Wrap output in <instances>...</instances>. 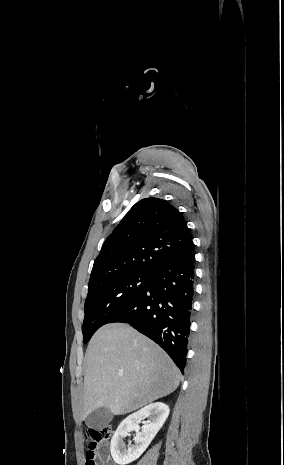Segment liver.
<instances>
[{"label":"liver","mask_w":284,"mask_h":465,"mask_svg":"<svg viewBox=\"0 0 284 465\" xmlns=\"http://www.w3.org/2000/svg\"><path fill=\"white\" fill-rule=\"evenodd\" d=\"M179 381V369L153 341L125 323L104 325L87 347L80 421L101 407L132 413L173 393Z\"/></svg>","instance_id":"6515ba94"}]
</instances>
